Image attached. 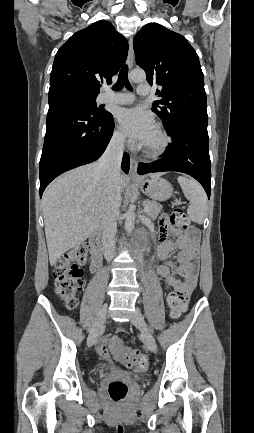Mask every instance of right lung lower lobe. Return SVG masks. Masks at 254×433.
Masks as SVG:
<instances>
[{
	"label": "right lung lower lobe",
	"instance_id": "right-lung-lower-lobe-1",
	"mask_svg": "<svg viewBox=\"0 0 254 433\" xmlns=\"http://www.w3.org/2000/svg\"><path fill=\"white\" fill-rule=\"evenodd\" d=\"M113 130V116L109 112L94 115L71 103L49 104L40 159V197L58 175L97 160L105 151ZM129 168V156L125 153L122 170L128 173Z\"/></svg>",
	"mask_w": 254,
	"mask_h": 433
}]
</instances>
